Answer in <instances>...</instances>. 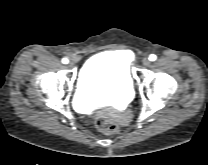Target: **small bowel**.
<instances>
[{"label":"small bowel","instance_id":"small-bowel-1","mask_svg":"<svg viewBox=\"0 0 208 165\" xmlns=\"http://www.w3.org/2000/svg\"><path fill=\"white\" fill-rule=\"evenodd\" d=\"M122 58H123L125 61L128 62V58H127L126 52H123V51H122Z\"/></svg>","mask_w":208,"mask_h":165}]
</instances>
